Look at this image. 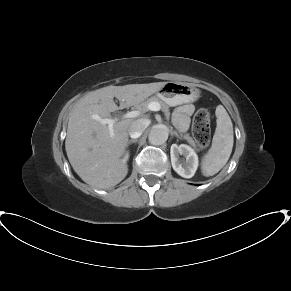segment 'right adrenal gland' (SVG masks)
Segmentation results:
<instances>
[{"instance_id":"1","label":"right adrenal gland","mask_w":291,"mask_h":291,"mask_svg":"<svg viewBox=\"0 0 291 291\" xmlns=\"http://www.w3.org/2000/svg\"><path fill=\"white\" fill-rule=\"evenodd\" d=\"M138 140L137 139H131L128 141V145L132 144V143H136Z\"/></svg>"}]
</instances>
